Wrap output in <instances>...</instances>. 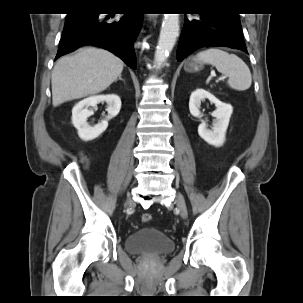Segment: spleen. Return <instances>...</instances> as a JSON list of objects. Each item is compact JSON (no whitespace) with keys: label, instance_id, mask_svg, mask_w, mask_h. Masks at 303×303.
I'll return each instance as SVG.
<instances>
[{"label":"spleen","instance_id":"1","mask_svg":"<svg viewBox=\"0 0 303 303\" xmlns=\"http://www.w3.org/2000/svg\"><path fill=\"white\" fill-rule=\"evenodd\" d=\"M195 60L215 66L229 78L228 85L232 89L244 91L251 86V72L246 63L235 54H229L219 48H210L197 53Z\"/></svg>","mask_w":303,"mask_h":303}]
</instances>
